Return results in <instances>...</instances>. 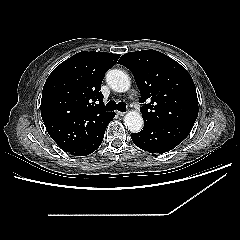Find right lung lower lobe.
<instances>
[{"instance_id":"obj_1","label":"right lung lower lobe","mask_w":240,"mask_h":240,"mask_svg":"<svg viewBox=\"0 0 240 240\" xmlns=\"http://www.w3.org/2000/svg\"><path fill=\"white\" fill-rule=\"evenodd\" d=\"M114 115H115V113H112V116L109 119L107 125L101 130V132L99 133L97 138L92 143L88 144L87 146H85L77 151L70 152V154L74 155V156H86V155H89L92 152H94L102 143L106 127L108 126L109 122L114 118Z\"/></svg>"}]
</instances>
